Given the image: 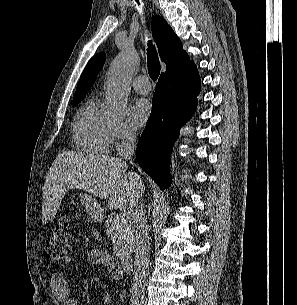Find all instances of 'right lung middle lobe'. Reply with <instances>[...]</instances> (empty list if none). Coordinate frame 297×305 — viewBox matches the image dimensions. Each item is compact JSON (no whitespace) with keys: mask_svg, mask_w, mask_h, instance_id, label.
<instances>
[{"mask_svg":"<svg viewBox=\"0 0 297 305\" xmlns=\"http://www.w3.org/2000/svg\"><path fill=\"white\" fill-rule=\"evenodd\" d=\"M82 99H83V98L77 99V100H73V104H74V105H77Z\"/></svg>","mask_w":297,"mask_h":305,"instance_id":"dd1d6c3e","label":"right lung middle lobe"}]
</instances>
